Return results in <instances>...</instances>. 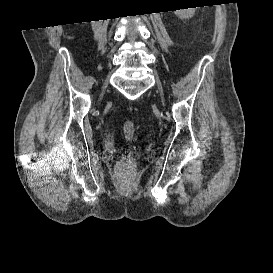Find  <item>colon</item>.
<instances>
[{
    "instance_id": "obj_1",
    "label": "colon",
    "mask_w": 273,
    "mask_h": 273,
    "mask_svg": "<svg viewBox=\"0 0 273 273\" xmlns=\"http://www.w3.org/2000/svg\"><path fill=\"white\" fill-rule=\"evenodd\" d=\"M123 132H124V135H125V138L127 140H131L134 136V132H135V125L132 121H126L124 122L123 124ZM132 167V164L129 160H126L122 163L121 167H120V170L122 172H126L128 171L129 169H131Z\"/></svg>"
}]
</instances>
